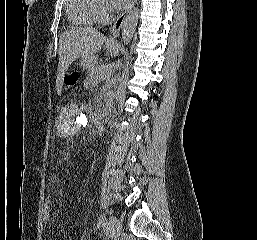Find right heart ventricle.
Here are the masks:
<instances>
[{
  "instance_id": "1",
  "label": "right heart ventricle",
  "mask_w": 257,
  "mask_h": 240,
  "mask_svg": "<svg viewBox=\"0 0 257 240\" xmlns=\"http://www.w3.org/2000/svg\"><path fill=\"white\" fill-rule=\"evenodd\" d=\"M98 0H66L69 21L76 26H93L97 17Z\"/></svg>"
}]
</instances>
